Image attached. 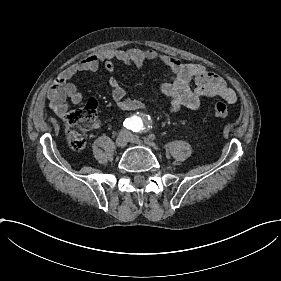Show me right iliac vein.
<instances>
[{
    "instance_id": "right-iliac-vein-1",
    "label": "right iliac vein",
    "mask_w": 281,
    "mask_h": 281,
    "mask_svg": "<svg viewBox=\"0 0 281 281\" xmlns=\"http://www.w3.org/2000/svg\"><path fill=\"white\" fill-rule=\"evenodd\" d=\"M128 140H129V137L127 134H125V133L118 134L116 136L115 145L118 148H123V147H125Z\"/></svg>"
}]
</instances>
